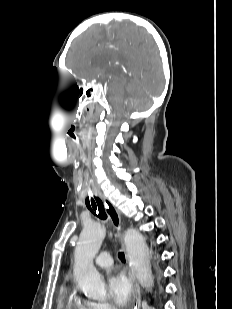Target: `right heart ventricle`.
Here are the masks:
<instances>
[{
    "mask_svg": "<svg viewBox=\"0 0 232 309\" xmlns=\"http://www.w3.org/2000/svg\"><path fill=\"white\" fill-rule=\"evenodd\" d=\"M65 309H89L87 301L81 300L77 297H71L65 305Z\"/></svg>",
    "mask_w": 232,
    "mask_h": 309,
    "instance_id": "obj_1",
    "label": "right heart ventricle"
}]
</instances>
